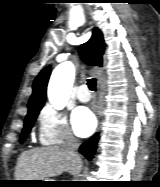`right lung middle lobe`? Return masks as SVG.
Masks as SVG:
<instances>
[{"instance_id": "dd1d6c3e", "label": "right lung middle lobe", "mask_w": 160, "mask_h": 187, "mask_svg": "<svg viewBox=\"0 0 160 187\" xmlns=\"http://www.w3.org/2000/svg\"><path fill=\"white\" fill-rule=\"evenodd\" d=\"M39 111L40 110H36V111H33V112H30L27 114V117L25 119V122H24V128L22 130V134H21V137H20V142L22 143L27 135L29 134L34 122H35V119L36 117L38 116L39 114Z\"/></svg>"}]
</instances>
